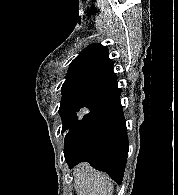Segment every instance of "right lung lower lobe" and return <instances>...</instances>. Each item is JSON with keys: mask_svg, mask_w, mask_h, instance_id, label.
Returning <instances> with one entry per match:
<instances>
[{"mask_svg": "<svg viewBox=\"0 0 178 195\" xmlns=\"http://www.w3.org/2000/svg\"><path fill=\"white\" fill-rule=\"evenodd\" d=\"M119 98L118 87L97 96L88 113L65 139L64 156L69 168L88 162L117 183L122 182L129 142Z\"/></svg>", "mask_w": 178, "mask_h": 195, "instance_id": "obj_1", "label": "right lung lower lobe"}]
</instances>
